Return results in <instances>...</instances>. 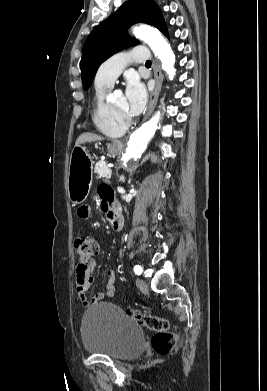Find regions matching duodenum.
Masks as SVG:
<instances>
[{"instance_id":"duodenum-1","label":"duodenum","mask_w":267,"mask_h":391,"mask_svg":"<svg viewBox=\"0 0 267 391\" xmlns=\"http://www.w3.org/2000/svg\"><path fill=\"white\" fill-rule=\"evenodd\" d=\"M105 209L107 210L112 229L119 231L123 226V217L116 209H108L107 207Z\"/></svg>"}]
</instances>
